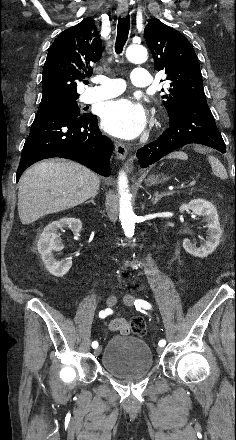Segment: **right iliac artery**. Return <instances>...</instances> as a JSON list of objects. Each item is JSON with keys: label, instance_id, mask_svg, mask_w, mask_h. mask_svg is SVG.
Instances as JSON below:
<instances>
[{"label": "right iliac artery", "instance_id": "obj_1", "mask_svg": "<svg viewBox=\"0 0 236 440\" xmlns=\"http://www.w3.org/2000/svg\"><path fill=\"white\" fill-rule=\"evenodd\" d=\"M109 314H110V310L106 309V310H103V311L99 312V317L100 318H105ZM92 347L93 348H97L98 347V342L97 341L92 342Z\"/></svg>", "mask_w": 236, "mask_h": 440}]
</instances>
